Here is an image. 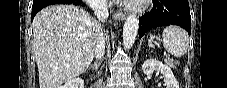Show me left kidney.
I'll use <instances>...</instances> for the list:
<instances>
[{"mask_svg":"<svg viewBox=\"0 0 227 88\" xmlns=\"http://www.w3.org/2000/svg\"><path fill=\"white\" fill-rule=\"evenodd\" d=\"M145 75L151 76L154 71L160 72L164 76L166 88H179V83L175 79L171 68L156 59H148L142 65Z\"/></svg>","mask_w":227,"mask_h":88,"instance_id":"5707ae66","label":"left kidney"}]
</instances>
